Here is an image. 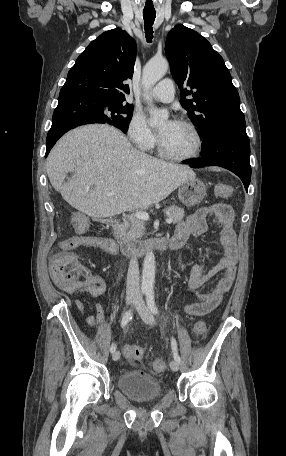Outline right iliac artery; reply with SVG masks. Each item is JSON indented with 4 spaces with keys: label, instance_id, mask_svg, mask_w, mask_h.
Instances as JSON below:
<instances>
[{
    "label": "right iliac artery",
    "instance_id": "right-iliac-artery-1",
    "mask_svg": "<svg viewBox=\"0 0 286 456\" xmlns=\"http://www.w3.org/2000/svg\"><path fill=\"white\" fill-rule=\"evenodd\" d=\"M142 293H144V292H142ZM132 315H133L132 309L128 310L124 314L122 321H121L122 328H124L128 324V322L132 319ZM115 350H116V345L113 343L110 347V352L113 353V352H115Z\"/></svg>",
    "mask_w": 286,
    "mask_h": 456
}]
</instances>
